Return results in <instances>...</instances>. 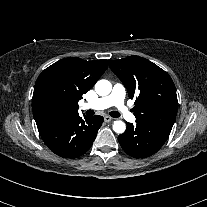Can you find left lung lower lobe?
<instances>
[{
  "instance_id": "1",
  "label": "left lung lower lobe",
  "mask_w": 207,
  "mask_h": 207,
  "mask_svg": "<svg viewBox=\"0 0 207 207\" xmlns=\"http://www.w3.org/2000/svg\"><path fill=\"white\" fill-rule=\"evenodd\" d=\"M171 129L136 122L127 123L126 131L118 137L123 150L134 158H146L156 153L165 143Z\"/></svg>"
}]
</instances>
